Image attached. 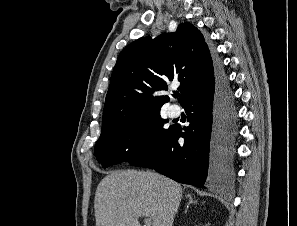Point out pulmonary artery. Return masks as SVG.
Segmentation results:
<instances>
[{"instance_id":"obj_1","label":"pulmonary artery","mask_w":297,"mask_h":226,"mask_svg":"<svg viewBox=\"0 0 297 226\" xmlns=\"http://www.w3.org/2000/svg\"><path fill=\"white\" fill-rule=\"evenodd\" d=\"M168 113L170 117L177 118L181 114V108L176 104H172L168 109Z\"/></svg>"}]
</instances>
